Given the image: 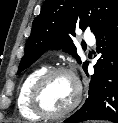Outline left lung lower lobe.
I'll return each mask as SVG.
<instances>
[{"mask_svg": "<svg viewBox=\"0 0 118 123\" xmlns=\"http://www.w3.org/2000/svg\"><path fill=\"white\" fill-rule=\"evenodd\" d=\"M95 37L101 56L94 66L88 99L64 122L103 119L118 123V16ZM84 70L87 73V66Z\"/></svg>", "mask_w": 118, "mask_h": 123, "instance_id": "left-lung-lower-lobe-1", "label": "left lung lower lobe"}]
</instances>
